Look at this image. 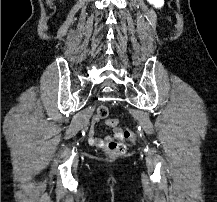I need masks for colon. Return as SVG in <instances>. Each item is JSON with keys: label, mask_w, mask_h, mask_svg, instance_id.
Segmentation results:
<instances>
[{"label": "colon", "mask_w": 217, "mask_h": 202, "mask_svg": "<svg viewBox=\"0 0 217 202\" xmlns=\"http://www.w3.org/2000/svg\"><path fill=\"white\" fill-rule=\"evenodd\" d=\"M108 115V110H107V105L106 104H99L98 105V109H97V116L99 118H106ZM120 120L118 118H108L107 121H105V126H113L115 123H118ZM125 140H134L135 136L133 135L132 131H129L130 129L127 127L125 129ZM125 150V146L123 143H116V141H111L108 145H107V153L110 156L116 157L119 156L121 154H123Z\"/></svg>", "instance_id": "obj_1"}]
</instances>
